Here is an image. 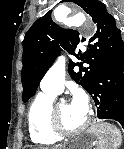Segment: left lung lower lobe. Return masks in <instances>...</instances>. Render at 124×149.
Segmentation results:
<instances>
[{
    "label": "left lung lower lobe",
    "mask_w": 124,
    "mask_h": 149,
    "mask_svg": "<svg viewBox=\"0 0 124 149\" xmlns=\"http://www.w3.org/2000/svg\"><path fill=\"white\" fill-rule=\"evenodd\" d=\"M99 119H112L124 128V55L100 68L87 89Z\"/></svg>",
    "instance_id": "left-lung-lower-lobe-1"
}]
</instances>
